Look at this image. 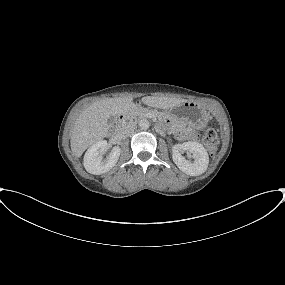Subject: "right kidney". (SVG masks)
<instances>
[{
	"label": "right kidney",
	"mask_w": 285,
	"mask_h": 285,
	"mask_svg": "<svg viewBox=\"0 0 285 285\" xmlns=\"http://www.w3.org/2000/svg\"><path fill=\"white\" fill-rule=\"evenodd\" d=\"M106 148L107 141L100 140L86 151L83 164L87 172L100 175L108 172L116 165L121 149L118 146L113 147L108 157L103 159L101 154L106 151Z\"/></svg>",
	"instance_id": "obj_1"
}]
</instances>
